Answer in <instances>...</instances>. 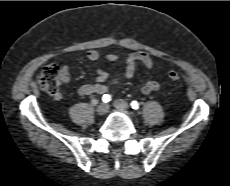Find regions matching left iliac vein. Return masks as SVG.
Instances as JSON below:
<instances>
[{"label":"left iliac vein","mask_w":230,"mask_h":186,"mask_svg":"<svg viewBox=\"0 0 230 186\" xmlns=\"http://www.w3.org/2000/svg\"><path fill=\"white\" fill-rule=\"evenodd\" d=\"M113 105L115 106L116 109L120 111H127L129 108L128 103L122 99L115 100Z\"/></svg>","instance_id":"1"}]
</instances>
